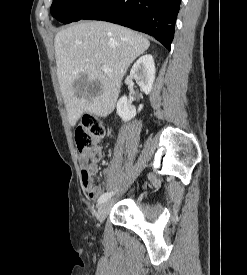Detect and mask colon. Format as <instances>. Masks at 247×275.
<instances>
[{"label":"colon","mask_w":247,"mask_h":275,"mask_svg":"<svg viewBox=\"0 0 247 275\" xmlns=\"http://www.w3.org/2000/svg\"><path fill=\"white\" fill-rule=\"evenodd\" d=\"M105 135V128L98 122L85 118L76 128L74 139L78 150L84 152L90 160H97V146Z\"/></svg>","instance_id":"5ec220e1"}]
</instances>
